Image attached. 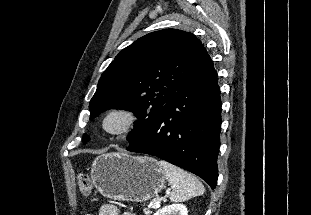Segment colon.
Masks as SVG:
<instances>
[{
  "label": "colon",
  "instance_id": "5ec220e1",
  "mask_svg": "<svg viewBox=\"0 0 311 215\" xmlns=\"http://www.w3.org/2000/svg\"><path fill=\"white\" fill-rule=\"evenodd\" d=\"M78 188L81 194L89 195L92 190V183L89 176L85 173H81L78 176Z\"/></svg>",
  "mask_w": 311,
  "mask_h": 215
}]
</instances>
